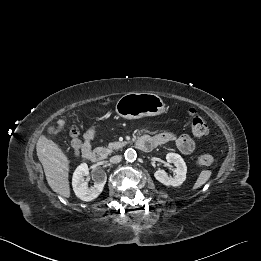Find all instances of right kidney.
<instances>
[{
  "mask_svg": "<svg viewBox=\"0 0 261 261\" xmlns=\"http://www.w3.org/2000/svg\"><path fill=\"white\" fill-rule=\"evenodd\" d=\"M89 175V168L86 163L80 164L74 171L72 178V186L75 195L83 201H92L96 199L103 191L107 176L104 172H97L94 186L89 188L85 176Z\"/></svg>",
  "mask_w": 261,
  "mask_h": 261,
  "instance_id": "ca27d5eb",
  "label": "right kidney"
}]
</instances>
